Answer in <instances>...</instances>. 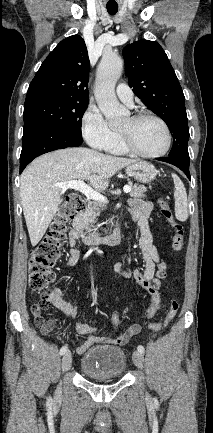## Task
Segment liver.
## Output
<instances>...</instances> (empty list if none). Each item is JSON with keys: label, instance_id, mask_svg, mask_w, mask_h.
<instances>
[{"label": "liver", "instance_id": "liver-1", "mask_svg": "<svg viewBox=\"0 0 213 433\" xmlns=\"http://www.w3.org/2000/svg\"><path fill=\"white\" fill-rule=\"evenodd\" d=\"M135 162L84 147L60 149L36 158L20 178L23 214L32 246L42 239L62 202L65 191L56 183L85 180L95 190L104 191L114 174Z\"/></svg>", "mask_w": 213, "mask_h": 433}]
</instances>
